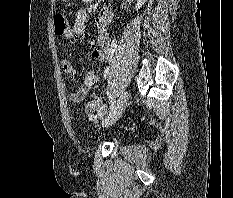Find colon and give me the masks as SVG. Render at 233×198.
Wrapping results in <instances>:
<instances>
[{"label":"colon","instance_id":"1","mask_svg":"<svg viewBox=\"0 0 233 198\" xmlns=\"http://www.w3.org/2000/svg\"><path fill=\"white\" fill-rule=\"evenodd\" d=\"M54 27L55 33L57 35L61 36L66 32L68 24L65 17L62 14L58 13L54 16ZM104 108V101L102 98L99 97L91 99L86 105V110L91 114H101L103 113Z\"/></svg>","mask_w":233,"mask_h":198}]
</instances>
